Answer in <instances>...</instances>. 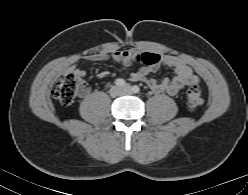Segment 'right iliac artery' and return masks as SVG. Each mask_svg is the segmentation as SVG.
Segmentation results:
<instances>
[{
    "label": "right iliac artery",
    "mask_w": 248,
    "mask_h": 195,
    "mask_svg": "<svg viewBox=\"0 0 248 195\" xmlns=\"http://www.w3.org/2000/svg\"><path fill=\"white\" fill-rule=\"evenodd\" d=\"M115 84L117 86H120V87H123V86L127 85L126 81L124 79H121V78L116 79Z\"/></svg>",
    "instance_id": "82829eb1"
}]
</instances>
